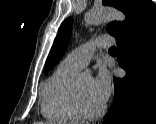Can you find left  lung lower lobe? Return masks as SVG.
Masks as SVG:
<instances>
[{"label": "left lung lower lobe", "instance_id": "left-lung-lower-lobe-1", "mask_svg": "<svg viewBox=\"0 0 156 124\" xmlns=\"http://www.w3.org/2000/svg\"><path fill=\"white\" fill-rule=\"evenodd\" d=\"M124 78L114 77L115 94L105 124H156V6L147 0L133 23L116 36Z\"/></svg>", "mask_w": 156, "mask_h": 124}]
</instances>
